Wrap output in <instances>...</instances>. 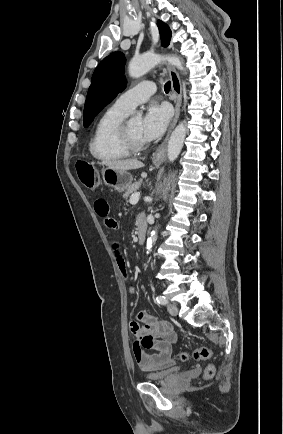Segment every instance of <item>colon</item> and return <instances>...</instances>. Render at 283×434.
<instances>
[{
  "label": "colon",
  "mask_w": 283,
  "mask_h": 434,
  "mask_svg": "<svg viewBox=\"0 0 283 434\" xmlns=\"http://www.w3.org/2000/svg\"><path fill=\"white\" fill-rule=\"evenodd\" d=\"M76 171L81 183L89 188L93 189L98 185V173L92 164L87 162H78L76 164ZM212 355L211 349L208 347L196 348L190 355L186 352L179 353L178 357L182 361H186L189 357L195 360H208ZM215 373L213 365H208L205 369L204 376L211 378Z\"/></svg>",
  "instance_id": "1"
}]
</instances>
